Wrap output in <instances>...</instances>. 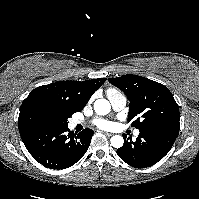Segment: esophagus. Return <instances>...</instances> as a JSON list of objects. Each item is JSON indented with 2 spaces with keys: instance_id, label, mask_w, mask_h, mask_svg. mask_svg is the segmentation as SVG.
<instances>
[{
  "instance_id": "obj_1",
  "label": "esophagus",
  "mask_w": 199,
  "mask_h": 199,
  "mask_svg": "<svg viewBox=\"0 0 199 199\" xmlns=\"http://www.w3.org/2000/svg\"><path fill=\"white\" fill-rule=\"evenodd\" d=\"M106 136L111 137V136H112V134H110V133H106Z\"/></svg>"
}]
</instances>
